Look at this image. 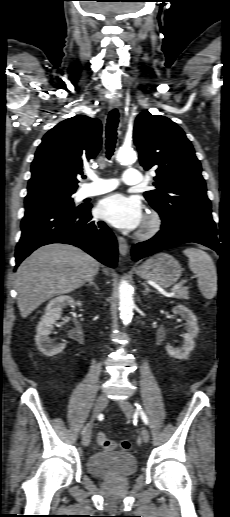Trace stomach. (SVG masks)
<instances>
[{"label":"stomach","mask_w":230,"mask_h":517,"mask_svg":"<svg viewBox=\"0 0 230 517\" xmlns=\"http://www.w3.org/2000/svg\"><path fill=\"white\" fill-rule=\"evenodd\" d=\"M182 268L179 262L169 254L159 253L136 269V274L143 279L157 283L162 287H170L181 276Z\"/></svg>","instance_id":"stomach-1"}]
</instances>
